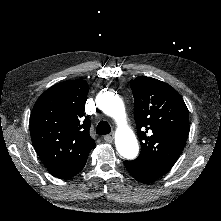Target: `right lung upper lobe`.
Listing matches in <instances>:
<instances>
[{
    "label": "right lung upper lobe",
    "mask_w": 221,
    "mask_h": 221,
    "mask_svg": "<svg viewBox=\"0 0 221 221\" xmlns=\"http://www.w3.org/2000/svg\"><path fill=\"white\" fill-rule=\"evenodd\" d=\"M88 91L84 80L55 84L38 98L31 112L33 146L57 178L78 174L95 146L89 135L91 122L88 117L84 119Z\"/></svg>",
    "instance_id": "1"
}]
</instances>
